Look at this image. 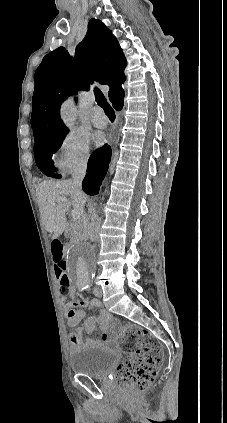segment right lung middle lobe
<instances>
[{
  "instance_id": "1",
  "label": "right lung middle lobe",
  "mask_w": 227,
  "mask_h": 423,
  "mask_svg": "<svg viewBox=\"0 0 227 423\" xmlns=\"http://www.w3.org/2000/svg\"><path fill=\"white\" fill-rule=\"evenodd\" d=\"M64 137L65 134H60L34 139V156L36 164L47 176L61 178V175L53 173L56 169L51 158L52 154L55 153L62 145Z\"/></svg>"
}]
</instances>
